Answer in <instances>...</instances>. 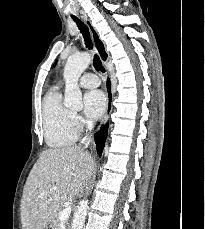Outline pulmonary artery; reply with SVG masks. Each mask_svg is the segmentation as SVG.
<instances>
[{
  "label": "pulmonary artery",
  "instance_id": "pulmonary-artery-1",
  "mask_svg": "<svg viewBox=\"0 0 205 229\" xmlns=\"http://www.w3.org/2000/svg\"><path fill=\"white\" fill-rule=\"evenodd\" d=\"M79 84L84 88H95L100 85V80L94 73H85L80 78Z\"/></svg>",
  "mask_w": 205,
  "mask_h": 229
}]
</instances>
